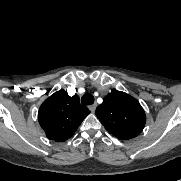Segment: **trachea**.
Masks as SVG:
<instances>
[{
	"mask_svg": "<svg viewBox=\"0 0 181 181\" xmlns=\"http://www.w3.org/2000/svg\"><path fill=\"white\" fill-rule=\"evenodd\" d=\"M81 103L83 105H91L94 103V96L90 93H86L81 98Z\"/></svg>",
	"mask_w": 181,
	"mask_h": 181,
	"instance_id": "1",
	"label": "trachea"
}]
</instances>
